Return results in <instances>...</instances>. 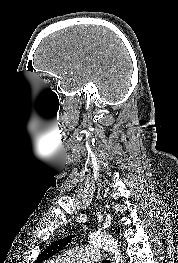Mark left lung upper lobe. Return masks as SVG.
Masks as SVG:
<instances>
[{"label":"left lung upper lobe","instance_id":"left-lung-upper-lobe-1","mask_svg":"<svg viewBox=\"0 0 178 263\" xmlns=\"http://www.w3.org/2000/svg\"><path fill=\"white\" fill-rule=\"evenodd\" d=\"M72 239L71 236H67L63 239H60L58 241L53 242L51 245L47 247V249L42 252L35 263H43L45 260H48L53 255L57 254L59 251H61L65 245Z\"/></svg>","mask_w":178,"mask_h":263}]
</instances>
